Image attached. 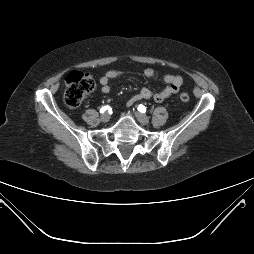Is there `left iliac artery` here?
<instances>
[{"instance_id":"1","label":"left iliac artery","mask_w":254,"mask_h":254,"mask_svg":"<svg viewBox=\"0 0 254 254\" xmlns=\"http://www.w3.org/2000/svg\"><path fill=\"white\" fill-rule=\"evenodd\" d=\"M138 111H140L141 113H145L146 112V107L144 105L140 104L138 106Z\"/></svg>"}]
</instances>
